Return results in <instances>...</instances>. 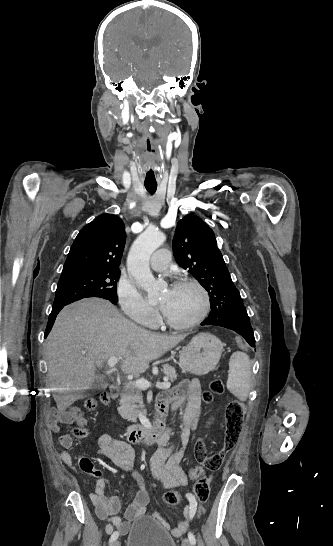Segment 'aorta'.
<instances>
[{"mask_svg":"<svg viewBox=\"0 0 333 546\" xmlns=\"http://www.w3.org/2000/svg\"><path fill=\"white\" fill-rule=\"evenodd\" d=\"M165 241V235L154 227H149L134 241L127 257V269L136 284L148 293V298L157 297L156 280L150 267L152 253Z\"/></svg>","mask_w":333,"mask_h":546,"instance_id":"762f6f07","label":"aorta"}]
</instances>
